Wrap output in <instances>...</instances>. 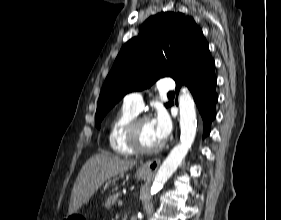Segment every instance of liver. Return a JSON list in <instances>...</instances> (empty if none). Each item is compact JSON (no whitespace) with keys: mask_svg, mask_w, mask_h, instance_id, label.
<instances>
[{"mask_svg":"<svg viewBox=\"0 0 281 220\" xmlns=\"http://www.w3.org/2000/svg\"><path fill=\"white\" fill-rule=\"evenodd\" d=\"M137 161L121 159L109 153H100L89 158L80 170L74 183L68 215L76 212L101 185L136 165Z\"/></svg>","mask_w":281,"mask_h":220,"instance_id":"6515ba94","label":"liver"}]
</instances>
